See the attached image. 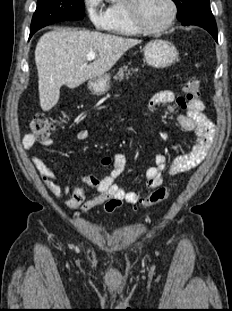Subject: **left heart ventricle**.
<instances>
[{
    "label": "left heart ventricle",
    "mask_w": 232,
    "mask_h": 311,
    "mask_svg": "<svg viewBox=\"0 0 232 311\" xmlns=\"http://www.w3.org/2000/svg\"><path fill=\"white\" fill-rule=\"evenodd\" d=\"M139 16L146 26L156 28L168 20L170 6L167 0H140Z\"/></svg>",
    "instance_id": "1"
}]
</instances>
